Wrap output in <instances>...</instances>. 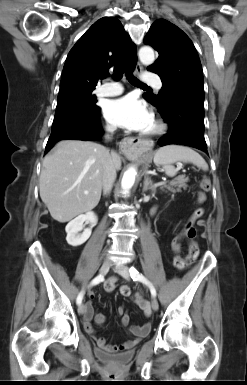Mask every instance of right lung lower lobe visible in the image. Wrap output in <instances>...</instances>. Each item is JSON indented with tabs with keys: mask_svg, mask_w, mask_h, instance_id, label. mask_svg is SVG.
<instances>
[{
	"mask_svg": "<svg viewBox=\"0 0 247 385\" xmlns=\"http://www.w3.org/2000/svg\"><path fill=\"white\" fill-rule=\"evenodd\" d=\"M103 134L99 124V111L93 114H75L53 122L52 132L45 148V154L63 139L93 140Z\"/></svg>",
	"mask_w": 247,
	"mask_h": 385,
	"instance_id": "1",
	"label": "right lung lower lobe"
}]
</instances>
